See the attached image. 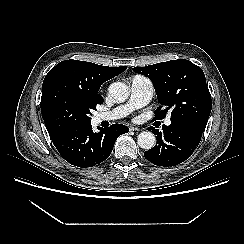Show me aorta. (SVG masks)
Returning a JSON list of instances; mask_svg holds the SVG:
<instances>
[{
	"instance_id": "762f6f07",
	"label": "aorta",
	"mask_w": 244,
	"mask_h": 244,
	"mask_svg": "<svg viewBox=\"0 0 244 244\" xmlns=\"http://www.w3.org/2000/svg\"><path fill=\"white\" fill-rule=\"evenodd\" d=\"M110 96L118 103L126 101L130 95L128 86L123 82H114L109 86ZM156 143L154 134L150 131H143L137 137V144L142 149H151Z\"/></svg>"
}]
</instances>
